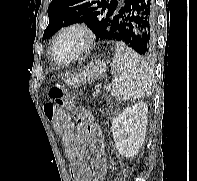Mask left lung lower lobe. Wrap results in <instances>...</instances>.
<instances>
[{"label":"left lung lower lobe","instance_id":"1","mask_svg":"<svg viewBox=\"0 0 197 181\" xmlns=\"http://www.w3.org/2000/svg\"><path fill=\"white\" fill-rule=\"evenodd\" d=\"M155 0H123L100 40L124 42L142 56L156 49Z\"/></svg>","mask_w":197,"mask_h":181}]
</instances>
